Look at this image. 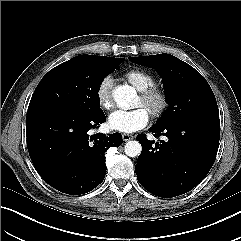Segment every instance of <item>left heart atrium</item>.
I'll return each instance as SVG.
<instances>
[{
  "instance_id": "1",
  "label": "left heart atrium",
  "mask_w": 241,
  "mask_h": 241,
  "mask_svg": "<svg viewBox=\"0 0 241 241\" xmlns=\"http://www.w3.org/2000/svg\"><path fill=\"white\" fill-rule=\"evenodd\" d=\"M149 122V112L139 106L133 110H116L109 115L108 125L122 133H133L143 129Z\"/></svg>"
}]
</instances>
